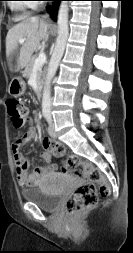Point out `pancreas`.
<instances>
[{
  "mask_svg": "<svg viewBox=\"0 0 133 253\" xmlns=\"http://www.w3.org/2000/svg\"><path fill=\"white\" fill-rule=\"evenodd\" d=\"M35 60H36V55L32 56L30 58L28 64L26 65V68L24 70L23 75L27 79H29L31 74H32L34 64H35ZM42 68H43V65L39 67V69L37 70V73H36V82H37V85H38V90L41 89L42 84H43L44 72H43Z\"/></svg>",
  "mask_w": 133,
  "mask_h": 253,
  "instance_id": "pancreas-1",
  "label": "pancreas"
}]
</instances>
